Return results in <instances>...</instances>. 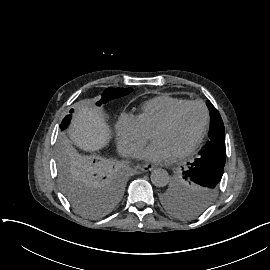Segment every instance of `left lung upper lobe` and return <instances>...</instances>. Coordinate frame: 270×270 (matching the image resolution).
<instances>
[{
  "mask_svg": "<svg viewBox=\"0 0 270 270\" xmlns=\"http://www.w3.org/2000/svg\"><path fill=\"white\" fill-rule=\"evenodd\" d=\"M210 132L208 144L200 152L182 178L161 195L164 207L174 215L191 218L201 214L212 203L224 172L226 160L225 129L222 118L210 101Z\"/></svg>",
  "mask_w": 270,
  "mask_h": 270,
  "instance_id": "5c2ea615",
  "label": "left lung upper lobe"
}]
</instances>
